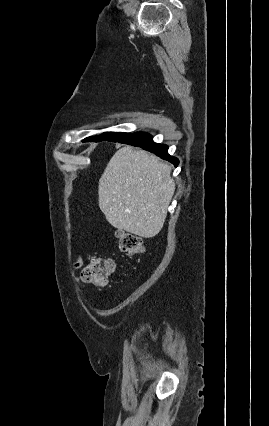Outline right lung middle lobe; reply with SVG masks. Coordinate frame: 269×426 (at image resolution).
Instances as JSON below:
<instances>
[{
    "label": "right lung middle lobe",
    "instance_id": "dd1d6c3e",
    "mask_svg": "<svg viewBox=\"0 0 269 426\" xmlns=\"http://www.w3.org/2000/svg\"><path fill=\"white\" fill-rule=\"evenodd\" d=\"M130 133L121 132H105L99 136H92L86 139V141L100 142V141H114L123 140L130 136Z\"/></svg>",
    "mask_w": 269,
    "mask_h": 426
}]
</instances>
